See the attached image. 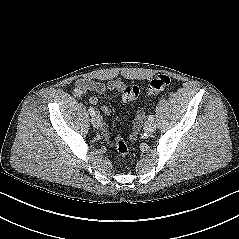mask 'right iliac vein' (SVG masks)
Masks as SVG:
<instances>
[{
    "instance_id": "obj_1",
    "label": "right iliac vein",
    "mask_w": 239,
    "mask_h": 239,
    "mask_svg": "<svg viewBox=\"0 0 239 239\" xmlns=\"http://www.w3.org/2000/svg\"><path fill=\"white\" fill-rule=\"evenodd\" d=\"M91 123L95 128H100L102 125V118L99 114L92 116Z\"/></svg>"
}]
</instances>
